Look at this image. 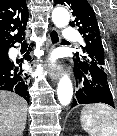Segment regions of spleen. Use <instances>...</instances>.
I'll list each match as a JSON object with an SVG mask.
<instances>
[{"label": "spleen", "instance_id": "1", "mask_svg": "<svg viewBox=\"0 0 117 136\" xmlns=\"http://www.w3.org/2000/svg\"><path fill=\"white\" fill-rule=\"evenodd\" d=\"M80 121L90 136H117V113L108 105H86L81 111Z\"/></svg>", "mask_w": 117, "mask_h": 136}]
</instances>
